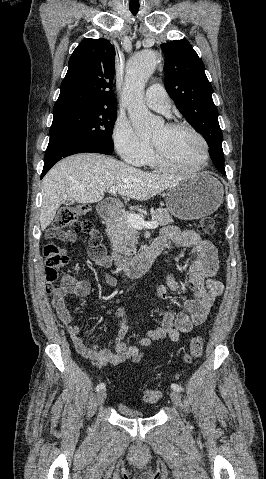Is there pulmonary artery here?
I'll return each instance as SVG.
<instances>
[{"instance_id": "1", "label": "pulmonary artery", "mask_w": 266, "mask_h": 479, "mask_svg": "<svg viewBox=\"0 0 266 479\" xmlns=\"http://www.w3.org/2000/svg\"><path fill=\"white\" fill-rule=\"evenodd\" d=\"M146 104L153 110L168 114L171 101L165 89L160 84L150 86L145 95Z\"/></svg>"}]
</instances>
